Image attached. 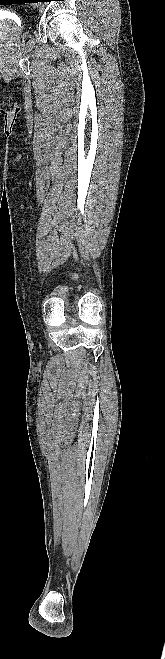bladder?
I'll use <instances>...</instances> for the list:
<instances>
[{"label": "bladder", "instance_id": "1", "mask_svg": "<svg viewBox=\"0 0 165 659\" xmlns=\"http://www.w3.org/2000/svg\"><path fill=\"white\" fill-rule=\"evenodd\" d=\"M14 26H9L6 23H0V34H7L9 36H18L24 31L23 27H19L16 23Z\"/></svg>", "mask_w": 165, "mask_h": 659}]
</instances>
